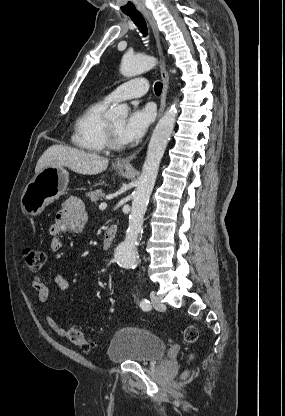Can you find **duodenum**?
I'll list each match as a JSON object with an SVG mask.
<instances>
[{"instance_id":"duodenum-1","label":"duodenum","mask_w":285,"mask_h":416,"mask_svg":"<svg viewBox=\"0 0 285 416\" xmlns=\"http://www.w3.org/2000/svg\"><path fill=\"white\" fill-rule=\"evenodd\" d=\"M117 235V228L115 225H109L103 235L102 239V248L104 250H109L113 244L114 239Z\"/></svg>"}]
</instances>
